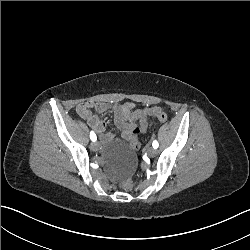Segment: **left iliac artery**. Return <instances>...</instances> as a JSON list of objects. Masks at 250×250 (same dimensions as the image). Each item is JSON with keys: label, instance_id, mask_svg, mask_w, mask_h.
Masks as SVG:
<instances>
[{"label": "left iliac artery", "instance_id": "left-iliac-artery-1", "mask_svg": "<svg viewBox=\"0 0 250 250\" xmlns=\"http://www.w3.org/2000/svg\"><path fill=\"white\" fill-rule=\"evenodd\" d=\"M152 146H153V148L157 149L159 146V143L156 140H154L152 143Z\"/></svg>", "mask_w": 250, "mask_h": 250}]
</instances>
